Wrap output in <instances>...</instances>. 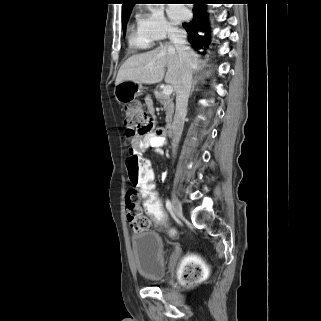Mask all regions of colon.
Here are the masks:
<instances>
[{
  "mask_svg": "<svg viewBox=\"0 0 321 321\" xmlns=\"http://www.w3.org/2000/svg\"><path fill=\"white\" fill-rule=\"evenodd\" d=\"M124 124L128 135H143L153 127L154 116L150 111L145 110L138 102H130L124 106ZM126 168L129 180L133 188L126 193L127 220L130 227L135 231H142L150 226L151 222L166 223L164 213L165 206L159 191H154L157 182L151 172L148 160L138 154L129 152L126 158ZM143 198L142 207L145 215L150 216V221L146 218L140 206ZM172 235L174 230H170ZM205 275L203 265L194 260H186L179 273L180 280L185 285H192L200 281Z\"/></svg>",
  "mask_w": 321,
  "mask_h": 321,
  "instance_id": "5ec220e1",
  "label": "colon"
}]
</instances>
